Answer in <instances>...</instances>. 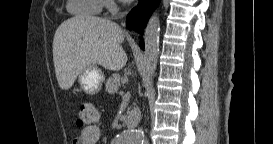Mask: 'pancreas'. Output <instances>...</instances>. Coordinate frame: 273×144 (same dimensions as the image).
I'll return each instance as SVG.
<instances>
[{
    "label": "pancreas",
    "mask_w": 273,
    "mask_h": 144,
    "mask_svg": "<svg viewBox=\"0 0 273 144\" xmlns=\"http://www.w3.org/2000/svg\"><path fill=\"white\" fill-rule=\"evenodd\" d=\"M124 80H125V77H122L117 73L113 74L106 81V84H105L106 91L110 94L117 92L121 82L123 83L125 82Z\"/></svg>",
    "instance_id": "1"
}]
</instances>
